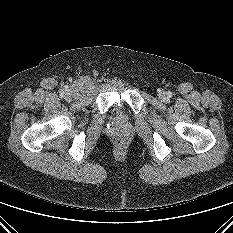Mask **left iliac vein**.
Instances as JSON below:
<instances>
[{
  "label": "left iliac vein",
  "mask_w": 233,
  "mask_h": 233,
  "mask_svg": "<svg viewBox=\"0 0 233 233\" xmlns=\"http://www.w3.org/2000/svg\"><path fill=\"white\" fill-rule=\"evenodd\" d=\"M158 96H159L160 99H165V97H166V95H165V93L163 91H160L158 93Z\"/></svg>",
  "instance_id": "4c4485c4"
}]
</instances>
